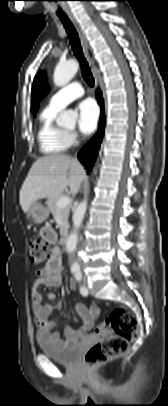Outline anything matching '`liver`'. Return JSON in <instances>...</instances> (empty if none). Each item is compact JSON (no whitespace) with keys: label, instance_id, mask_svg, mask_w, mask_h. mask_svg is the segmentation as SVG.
<instances>
[{"label":"liver","instance_id":"obj_1","mask_svg":"<svg viewBox=\"0 0 168 406\" xmlns=\"http://www.w3.org/2000/svg\"><path fill=\"white\" fill-rule=\"evenodd\" d=\"M85 175L78 160L68 155L52 154L38 158L20 190L22 210L27 213L37 200L59 196L67 186L72 194H77Z\"/></svg>","mask_w":168,"mask_h":406}]
</instances>
